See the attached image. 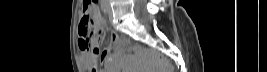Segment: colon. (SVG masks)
<instances>
[{
    "label": "colon",
    "mask_w": 267,
    "mask_h": 72,
    "mask_svg": "<svg viewBox=\"0 0 267 72\" xmlns=\"http://www.w3.org/2000/svg\"><path fill=\"white\" fill-rule=\"evenodd\" d=\"M96 1L86 0L81 12L79 22V45L86 52H94L104 40V33L96 25L97 10L94 8ZM165 72H170L172 69L165 67Z\"/></svg>",
    "instance_id": "obj_1"
}]
</instances>
